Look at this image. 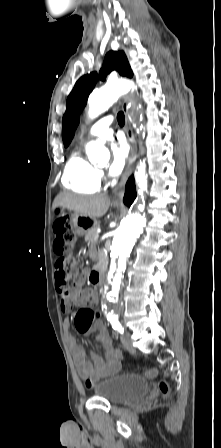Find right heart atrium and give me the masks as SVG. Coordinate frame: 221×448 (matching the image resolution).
I'll return each mask as SVG.
<instances>
[{
    "label": "right heart atrium",
    "mask_w": 221,
    "mask_h": 448,
    "mask_svg": "<svg viewBox=\"0 0 221 448\" xmlns=\"http://www.w3.org/2000/svg\"><path fill=\"white\" fill-rule=\"evenodd\" d=\"M99 177H103V172L99 171Z\"/></svg>",
    "instance_id": "1"
}]
</instances>
